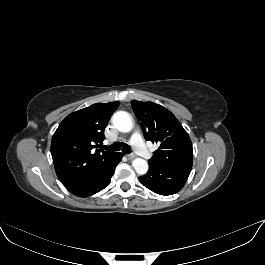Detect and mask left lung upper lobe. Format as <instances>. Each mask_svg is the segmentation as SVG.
Segmentation results:
<instances>
[{
  "label": "left lung upper lobe",
  "mask_w": 265,
  "mask_h": 265,
  "mask_svg": "<svg viewBox=\"0 0 265 265\" xmlns=\"http://www.w3.org/2000/svg\"><path fill=\"white\" fill-rule=\"evenodd\" d=\"M131 105L141 122L145 139L159 145L149 160V166L192 168L191 139L177 118L169 110L153 102L132 100Z\"/></svg>",
  "instance_id": "5c2ea615"
}]
</instances>
